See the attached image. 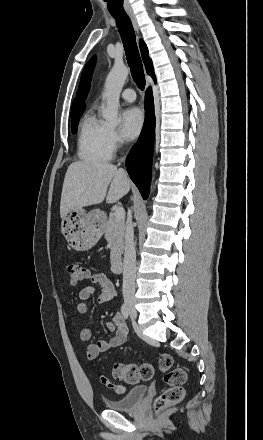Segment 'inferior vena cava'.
I'll return each mask as SVG.
<instances>
[{
	"instance_id": "inferior-vena-cava-1",
	"label": "inferior vena cava",
	"mask_w": 263,
	"mask_h": 440,
	"mask_svg": "<svg viewBox=\"0 0 263 440\" xmlns=\"http://www.w3.org/2000/svg\"><path fill=\"white\" fill-rule=\"evenodd\" d=\"M136 279V251L134 245V229L132 225L131 211L128 212V220L125 232V252L123 261V285L124 299H132L135 293Z\"/></svg>"
}]
</instances>
